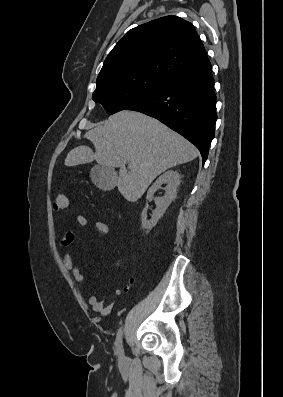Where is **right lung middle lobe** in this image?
I'll return each mask as SVG.
<instances>
[{
    "label": "right lung middle lobe",
    "mask_w": 283,
    "mask_h": 397,
    "mask_svg": "<svg viewBox=\"0 0 283 397\" xmlns=\"http://www.w3.org/2000/svg\"><path fill=\"white\" fill-rule=\"evenodd\" d=\"M167 81L149 75L120 76L97 81L92 95L95 102L102 104L108 114L127 109L144 99Z\"/></svg>",
    "instance_id": "1"
}]
</instances>
